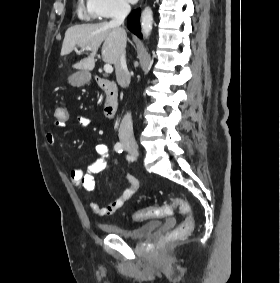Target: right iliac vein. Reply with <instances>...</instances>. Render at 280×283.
Here are the masks:
<instances>
[{
  "label": "right iliac vein",
  "instance_id": "63e3f726",
  "mask_svg": "<svg viewBox=\"0 0 280 283\" xmlns=\"http://www.w3.org/2000/svg\"><path fill=\"white\" fill-rule=\"evenodd\" d=\"M128 150H129V151H137V148H136V147L131 146V147H128Z\"/></svg>",
  "mask_w": 280,
  "mask_h": 283
}]
</instances>
